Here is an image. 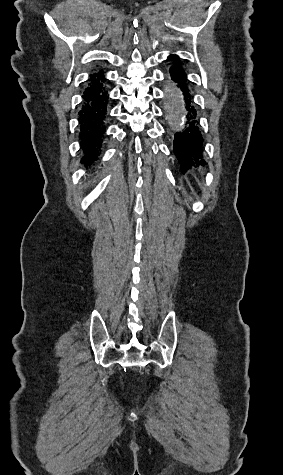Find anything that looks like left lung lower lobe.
Wrapping results in <instances>:
<instances>
[{
    "label": "left lung lower lobe",
    "mask_w": 283,
    "mask_h": 475,
    "mask_svg": "<svg viewBox=\"0 0 283 475\" xmlns=\"http://www.w3.org/2000/svg\"><path fill=\"white\" fill-rule=\"evenodd\" d=\"M168 60L174 62V65L170 68L171 79L178 82V87L181 88L186 103V110L188 111L186 115L187 126L182 132L175 134L173 144L175 155L181 164L182 172H184L185 169H189L191 166L205 165V160L203 159L205 156L204 138L186 74L178 62L179 58L176 55H170Z\"/></svg>",
    "instance_id": "0a47b994"
}]
</instances>
